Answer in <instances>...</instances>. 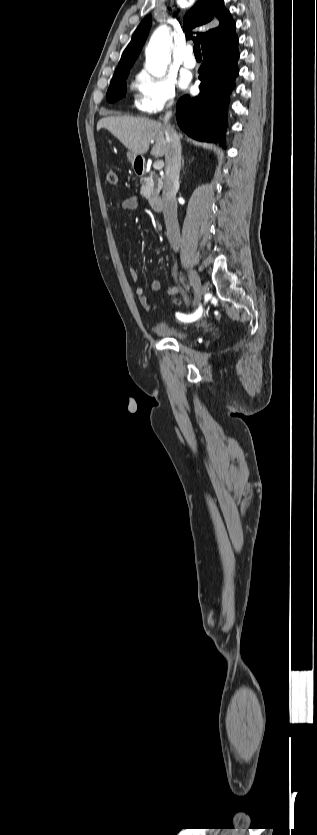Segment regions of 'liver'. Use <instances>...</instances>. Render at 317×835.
I'll return each instance as SVG.
<instances>
[{
	"instance_id": "liver-1",
	"label": "liver",
	"mask_w": 317,
	"mask_h": 835,
	"mask_svg": "<svg viewBox=\"0 0 317 835\" xmlns=\"http://www.w3.org/2000/svg\"><path fill=\"white\" fill-rule=\"evenodd\" d=\"M101 128L107 129L134 155L145 154L151 140H155L151 155L161 157L166 152L165 126L160 122L131 116H108L98 121L97 131ZM179 137L183 135L179 134Z\"/></svg>"
}]
</instances>
